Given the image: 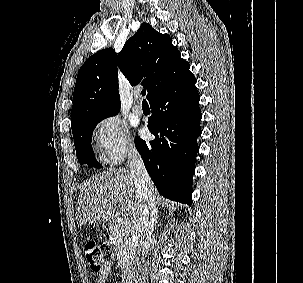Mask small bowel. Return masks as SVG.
Returning a JSON list of instances; mask_svg holds the SVG:
<instances>
[{"instance_id": "c3829d8e", "label": "small bowel", "mask_w": 303, "mask_h": 283, "mask_svg": "<svg viewBox=\"0 0 303 283\" xmlns=\"http://www.w3.org/2000/svg\"><path fill=\"white\" fill-rule=\"evenodd\" d=\"M111 268H112V262L111 261L106 262L103 270L101 271V274H100V277H99L97 283H104L105 282Z\"/></svg>"}]
</instances>
